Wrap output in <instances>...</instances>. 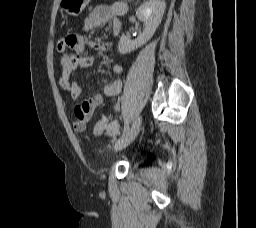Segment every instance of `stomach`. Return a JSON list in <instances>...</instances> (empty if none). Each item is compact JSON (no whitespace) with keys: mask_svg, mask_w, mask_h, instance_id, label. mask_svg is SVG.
<instances>
[{"mask_svg":"<svg viewBox=\"0 0 256 228\" xmlns=\"http://www.w3.org/2000/svg\"><path fill=\"white\" fill-rule=\"evenodd\" d=\"M91 0H60L62 9L71 16H78Z\"/></svg>","mask_w":256,"mask_h":228,"instance_id":"1","label":"stomach"}]
</instances>
